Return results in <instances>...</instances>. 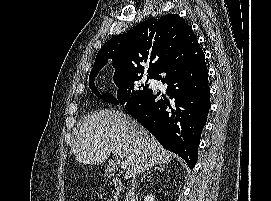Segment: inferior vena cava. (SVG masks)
<instances>
[{
  "label": "inferior vena cava",
  "instance_id": "obj_1",
  "mask_svg": "<svg viewBox=\"0 0 271 201\" xmlns=\"http://www.w3.org/2000/svg\"><path fill=\"white\" fill-rule=\"evenodd\" d=\"M137 184L135 180L132 181L133 188L132 190H129L128 194L126 195V200L125 201H135L134 198V187Z\"/></svg>",
  "mask_w": 271,
  "mask_h": 201
}]
</instances>
